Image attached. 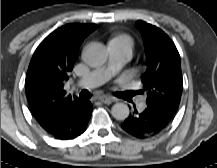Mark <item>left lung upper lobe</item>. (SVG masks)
Returning a JSON list of instances; mask_svg holds the SVG:
<instances>
[{
	"label": "left lung upper lobe",
	"mask_w": 217,
	"mask_h": 168,
	"mask_svg": "<svg viewBox=\"0 0 217 168\" xmlns=\"http://www.w3.org/2000/svg\"><path fill=\"white\" fill-rule=\"evenodd\" d=\"M137 27L147 57V70L142 78L146 102L175 114L183 90L178 50L169 36L156 26L139 20Z\"/></svg>",
	"instance_id": "5c2ea615"
}]
</instances>
